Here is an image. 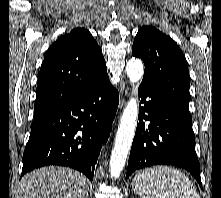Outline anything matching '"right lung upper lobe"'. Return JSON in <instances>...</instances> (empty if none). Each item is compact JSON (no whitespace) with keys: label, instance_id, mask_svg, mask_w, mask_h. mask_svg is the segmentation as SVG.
<instances>
[{"label":"right lung upper lobe","instance_id":"obj_1","mask_svg":"<svg viewBox=\"0 0 221 198\" xmlns=\"http://www.w3.org/2000/svg\"><path fill=\"white\" fill-rule=\"evenodd\" d=\"M108 78L102 51L91 33L73 29L48 49L37 82L34 117Z\"/></svg>","mask_w":221,"mask_h":198}]
</instances>
